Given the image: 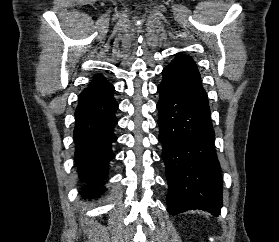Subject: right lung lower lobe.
<instances>
[{"instance_id":"1","label":"right lung lower lobe","mask_w":279,"mask_h":242,"mask_svg":"<svg viewBox=\"0 0 279 242\" xmlns=\"http://www.w3.org/2000/svg\"><path fill=\"white\" fill-rule=\"evenodd\" d=\"M114 87L109 86L94 93L79 96L75 111V166L82 183V195L96 198L104 193L108 180L109 162L115 157L112 144L117 137L113 97Z\"/></svg>"}]
</instances>
